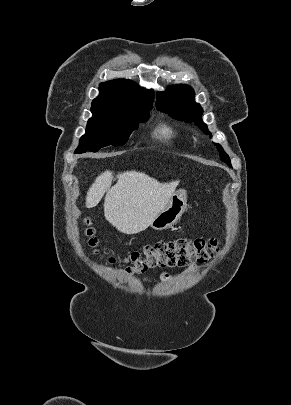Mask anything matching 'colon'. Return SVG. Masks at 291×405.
Here are the masks:
<instances>
[{
  "label": "colon",
  "instance_id": "5ec220e1",
  "mask_svg": "<svg viewBox=\"0 0 291 405\" xmlns=\"http://www.w3.org/2000/svg\"><path fill=\"white\" fill-rule=\"evenodd\" d=\"M86 235L91 247L97 245L95 230L86 222ZM219 248L217 240L211 239H176L158 241L146 245L140 251L132 252L125 260L124 271L127 273H141L156 267H187L194 263L206 262L217 254ZM109 264H116V259H108Z\"/></svg>",
  "mask_w": 291,
  "mask_h": 405
}]
</instances>
